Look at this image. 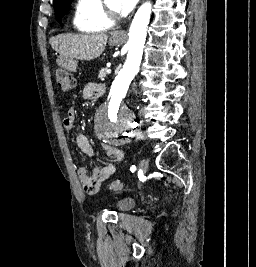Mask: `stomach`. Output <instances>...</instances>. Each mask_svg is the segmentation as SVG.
<instances>
[{
  "instance_id": "1",
  "label": "stomach",
  "mask_w": 256,
  "mask_h": 267,
  "mask_svg": "<svg viewBox=\"0 0 256 267\" xmlns=\"http://www.w3.org/2000/svg\"><path fill=\"white\" fill-rule=\"evenodd\" d=\"M120 34H122V32H120ZM122 38L123 36H119V34L118 38L113 36V38H110L109 44H111V46H116V44H118L119 40H122ZM55 67H75V62H55Z\"/></svg>"
}]
</instances>
